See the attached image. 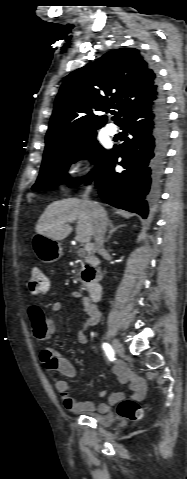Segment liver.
Listing matches in <instances>:
<instances>
[{"label": "liver", "instance_id": "liver-1", "mask_svg": "<svg viewBox=\"0 0 187 479\" xmlns=\"http://www.w3.org/2000/svg\"><path fill=\"white\" fill-rule=\"evenodd\" d=\"M75 221V240L89 243L93 236V224L90 211L81 199L67 198L51 203L40 216L35 229L38 234L61 241L71 233L69 224Z\"/></svg>", "mask_w": 187, "mask_h": 479}]
</instances>
